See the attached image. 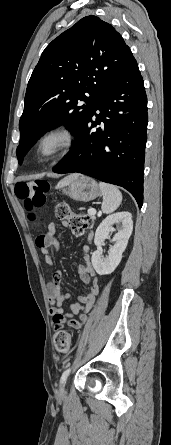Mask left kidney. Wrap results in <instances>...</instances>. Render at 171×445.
<instances>
[{"instance_id":"obj_1","label":"left kidney","mask_w":171,"mask_h":445,"mask_svg":"<svg viewBox=\"0 0 171 445\" xmlns=\"http://www.w3.org/2000/svg\"><path fill=\"white\" fill-rule=\"evenodd\" d=\"M114 224H121L118 232L112 237L115 244L108 250V255H102L101 242L115 230ZM133 231L132 215L129 212H118L105 218L95 232L94 243L97 250L92 254V265L99 275L111 274L119 265L128 240Z\"/></svg>"}]
</instances>
